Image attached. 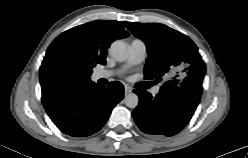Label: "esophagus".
I'll return each mask as SVG.
<instances>
[{
  "mask_svg": "<svg viewBox=\"0 0 248 158\" xmlns=\"http://www.w3.org/2000/svg\"><path fill=\"white\" fill-rule=\"evenodd\" d=\"M124 90H125V95L132 92V88L128 85L124 86Z\"/></svg>",
  "mask_w": 248,
  "mask_h": 158,
  "instance_id": "esophagus-1",
  "label": "esophagus"
}]
</instances>
